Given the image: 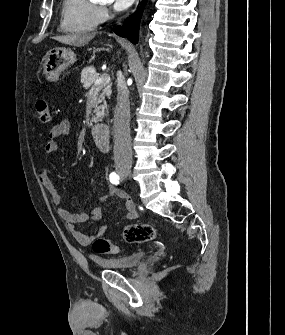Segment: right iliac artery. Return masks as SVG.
<instances>
[{
  "instance_id": "1",
  "label": "right iliac artery",
  "mask_w": 285,
  "mask_h": 335,
  "mask_svg": "<svg viewBox=\"0 0 285 335\" xmlns=\"http://www.w3.org/2000/svg\"><path fill=\"white\" fill-rule=\"evenodd\" d=\"M109 178H110V182L112 184H115V185L119 184V176L115 172H112L110 174Z\"/></svg>"
}]
</instances>
